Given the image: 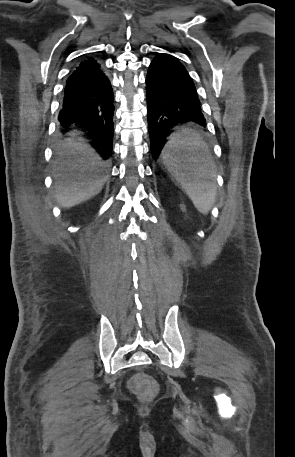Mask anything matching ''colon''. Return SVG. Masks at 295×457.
<instances>
[{
	"label": "colon",
	"mask_w": 295,
	"mask_h": 457,
	"mask_svg": "<svg viewBox=\"0 0 295 457\" xmlns=\"http://www.w3.org/2000/svg\"><path fill=\"white\" fill-rule=\"evenodd\" d=\"M133 380L132 390H141L146 396L151 395L156 390L154 374H135Z\"/></svg>",
	"instance_id": "5ec220e1"
}]
</instances>
